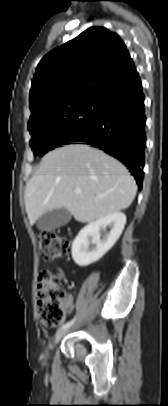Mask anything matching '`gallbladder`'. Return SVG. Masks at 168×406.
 <instances>
[{"label": "gallbladder", "instance_id": "obj_1", "mask_svg": "<svg viewBox=\"0 0 168 406\" xmlns=\"http://www.w3.org/2000/svg\"><path fill=\"white\" fill-rule=\"evenodd\" d=\"M71 219L70 212L65 208L54 209L45 212L37 222V228L41 231H51L60 226L66 225Z\"/></svg>", "mask_w": 168, "mask_h": 406}]
</instances>
